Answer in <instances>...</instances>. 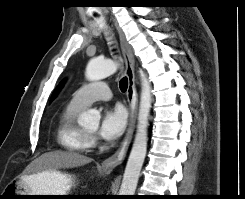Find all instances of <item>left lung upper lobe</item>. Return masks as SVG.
I'll return each mask as SVG.
<instances>
[{
	"label": "left lung upper lobe",
	"mask_w": 245,
	"mask_h": 199,
	"mask_svg": "<svg viewBox=\"0 0 245 199\" xmlns=\"http://www.w3.org/2000/svg\"><path fill=\"white\" fill-rule=\"evenodd\" d=\"M63 86V82H61L57 88L54 90L52 96H51V101L56 97L57 93L59 92V90L61 89V87Z\"/></svg>",
	"instance_id": "obj_1"
}]
</instances>
